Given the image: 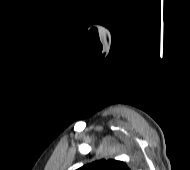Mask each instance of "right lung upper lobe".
I'll return each instance as SVG.
<instances>
[{"mask_svg":"<svg viewBox=\"0 0 190 170\" xmlns=\"http://www.w3.org/2000/svg\"><path fill=\"white\" fill-rule=\"evenodd\" d=\"M77 170H130L125 163L113 159L97 160L90 164L84 165Z\"/></svg>","mask_w":190,"mask_h":170,"instance_id":"cb5924a9","label":"right lung upper lobe"}]
</instances>
